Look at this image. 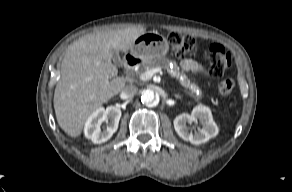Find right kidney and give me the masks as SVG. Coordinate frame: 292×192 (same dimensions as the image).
I'll return each mask as SVG.
<instances>
[{
	"label": "right kidney",
	"instance_id": "obj_1",
	"mask_svg": "<svg viewBox=\"0 0 292 192\" xmlns=\"http://www.w3.org/2000/svg\"><path fill=\"white\" fill-rule=\"evenodd\" d=\"M120 117L121 110L118 107L98 108L89 116L85 123L84 133L86 138L95 144L106 142L117 131ZM103 122H106L108 125L101 130L100 126Z\"/></svg>",
	"mask_w": 292,
	"mask_h": 192
}]
</instances>
